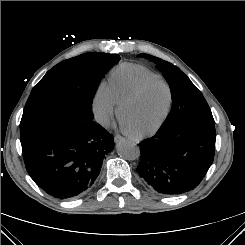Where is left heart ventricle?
Segmentation results:
<instances>
[{"label": "left heart ventricle", "instance_id": "left-heart-ventricle-1", "mask_svg": "<svg viewBox=\"0 0 245 245\" xmlns=\"http://www.w3.org/2000/svg\"><path fill=\"white\" fill-rule=\"evenodd\" d=\"M167 103V90L160 82L148 84L141 95L123 111L126 125L133 131L151 128L161 118Z\"/></svg>", "mask_w": 245, "mask_h": 245}]
</instances>
